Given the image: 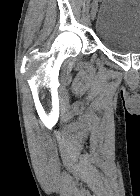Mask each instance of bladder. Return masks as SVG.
<instances>
[{
	"mask_svg": "<svg viewBox=\"0 0 140 196\" xmlns=\"http://www.w3.org/2000/svg\"><path fill=\"white\" fill-rule=\"evenodd\" d=\"M95 32L100 43L113 53L140 54V0H104Z\"/></svg>",
	"mask_w": 140,
	"mask_h": 196,
	"instance_id": "31cf9c89",
	"label": "bladder"
}]
</instances>
